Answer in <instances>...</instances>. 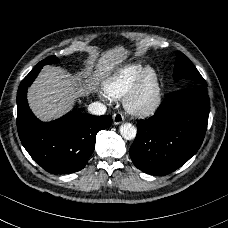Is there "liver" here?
<instances>
[{"label": "liver", "mask_w": 228, "mask_h": 228, "mask_svg": "<svg viewBox=\"0 0 228 228\" xmlns=\"http://www.w3.org/2000/svg\"><path fill=\"white\" fill-rule=\"evenodd\" d=\"M127 52L122 46L101 54L96 70L74 77L61 67L45 66L28 89V102L34 114L42 121L59 118L73 108L75 100L98 90L100 83L109 78Z\"/></svg>", "instance_id": "6515ba94"}]
</instances>
